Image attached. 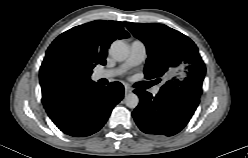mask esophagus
Segmentation results:
<instances>
[{"label":"esophagus","instance_id":"34e87169","mask_svg":"<svg viewBox=\"0 0 248 158\" xmlns=\"http://www.w3.org/2000/svg\"><path fill=\"white\" fill-rule=\"evenodd\" d=\"M124 88H125V95H127V94L132 92V88L130 86L125 85Z\"/></svg>","mask_w":248,"mask_h":158}]
</instances>
